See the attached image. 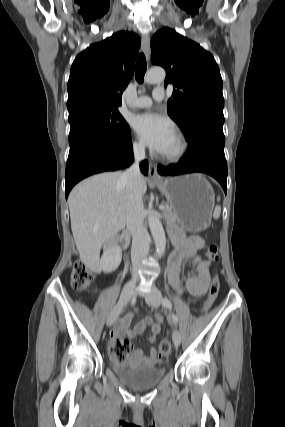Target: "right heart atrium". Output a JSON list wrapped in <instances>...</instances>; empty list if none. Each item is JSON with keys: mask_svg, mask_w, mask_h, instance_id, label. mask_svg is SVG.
<instances>
[{"mask_svg": "<svg viewBox=\"0 0 285 427\" xmlns=\"http://www.w3.org/2000/svg\"><path fill=\"white\" fill-rule=\"evenodd\" d=\"M131 148L133 152L137 155H140L144 152V145L141 141L134 139L131 143Z\"/></svg>", "mask_w": 285, "mask_h": 427, "instance_id": "d8ad5b80", "label": "right heart atrium"}]
</instances>
